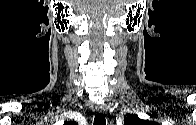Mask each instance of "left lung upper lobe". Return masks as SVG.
<instances>
[{
  "instance_id": "5c2ea615",
  "label": "left lung upper lobe",
  "mask_w": 196,
  "mask_h": 125,
  "mask_svg": "<svg viewBox=\"0 0 196 125\" xmlns=\"http://www.w3.org/2000/svg\"><path fill=\"white\" fill-rule=\"evenodd\" d=\"M148 122V120L140 119L137 115H129L124 120L125 125H146L149 124Z\"/></svg>"
}]
</instances>
